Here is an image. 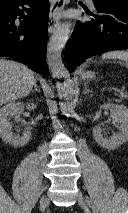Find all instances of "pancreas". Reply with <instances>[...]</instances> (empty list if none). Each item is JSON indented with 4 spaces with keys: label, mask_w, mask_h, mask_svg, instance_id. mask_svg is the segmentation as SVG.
I'll list each match as a JSON object with an SVG mask.
<instances>
[{
    "label": "pancreas",
    "mask_w": 128,
    "mask_h": 213,
    "mask_svg": "<svg viewBox=\"0 0 128 213\" xmlns=\"http://www.w3.org/2000/svg\"><path fill=\"white\" fill-rule=\"evenodd\" d=\"M116 102H121V100H116Z\"/></svg>",
    "instance_id": "pancreas-1"
}]
</instances>
